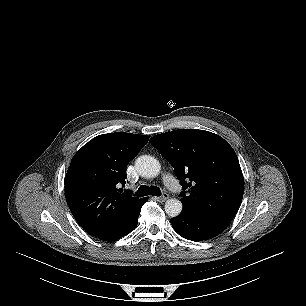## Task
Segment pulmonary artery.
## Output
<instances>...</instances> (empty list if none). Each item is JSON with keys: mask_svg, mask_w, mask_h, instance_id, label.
<instances>
[{"mask_svg": "<svg viewBox=\"0 0 306 306\" xmlns=\"http://www.w3.org/2000/svg\"><path fill=\"white\" fill-rule=\"evenodd\" d=\"M165 181L171 189H174L178 186V182L176 181V179L170 175L165 176Z\"/></svg>", "mask_w": 306, "mask_h": 306, "instance_id": "1", "label": "pulmonary artery"}]
</instances>
